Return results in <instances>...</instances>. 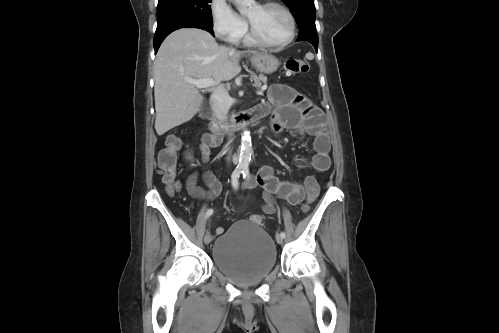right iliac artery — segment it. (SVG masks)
Instances as JSON below:
<instances>
[{
    "mask_svg": "<svg viewBox=\"0 0 499 333\" xmlns=\"http://www.w3.org/2000/svg\"><path fill=\"white\" fill-rule=\"evenodd\" d=\"M242 172H243L242 168H236L233 171V173H232L231 183H232V186H233L234 189L238 188V185H239L238 178H239V176L241 175ZM212 214H213V209H209L206 212V218H209Z\"/></svg>",
    "mask_w": 499,
    "mask_h": 333,
    "instance_id": "82829eb1",
    "label": "right iliac artery"
}]
</instances>
